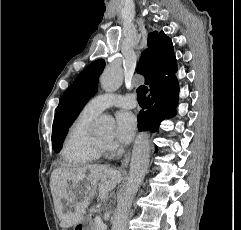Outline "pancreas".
I'll list each match as a JSON object with an SVG mask.
<instances>
[{"label": "pancreas", "instance_id": "obj_1", "mask_svg": "<svg viewBox=\"0 0 241 230\" xmlns=\"http://www.w3.org/2000/svg\"><path fill=\"white\" fill-rule=\"evenodd\" d=\"M93 230H101L95 222L93 223Z\"/></svg>", "mask_w": 241, "mask_h": 230}]
</instances>
